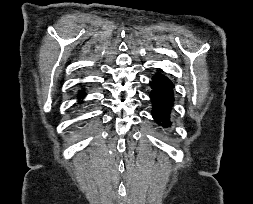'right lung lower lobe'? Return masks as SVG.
Wrapping results in <instances>:
<instances>
[{
    "label": "right lung lower lobe",
    "instance_id": "98d812e1",
    "mask_svg": "<svg viewBox=\"0 0 253 204\" xmlns=\"http://www.w3.org/2000/svg\"><path fill=\"white\" fill-rule=\"evenodd\" d=\"M84 95H86V93L79 95V98L82 97V96H84Z\"/></svg>",
    "mask_w": 253,
    "mask_h": 204
}]
</instances>
